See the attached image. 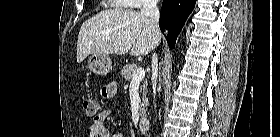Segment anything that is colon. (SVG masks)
I'll return each mask as SVG.
<instances>
[{
	"instance_id": "obj_1",
	"label": "colon",
	"mask_w": 280,
	"mask_h": 137,
	"mask_svg": "<svg viewBox=\"0 0 280 137\" xmlns=\"http://www.w3.org/2000/svg\"><path fill=\"white\" fill-rule=\"evenodd\" d=\"M105 98H111V96H108V94H105ZM83 109L85 113L88 116L96 117L99 112V105L98 102L94 99H84L83 100ZM99 135L97 133H92L89 135V137H98Z\"/></svg>"
}]
</instances>
